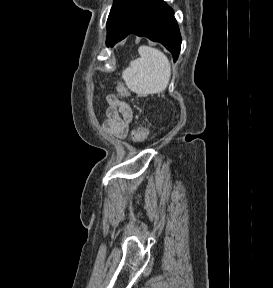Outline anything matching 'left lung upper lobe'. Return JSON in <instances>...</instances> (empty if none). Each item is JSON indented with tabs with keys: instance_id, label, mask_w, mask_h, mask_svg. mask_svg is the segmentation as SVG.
<instances>
[{
	"instance_id": "1",
	"label": "left lung upper lobe",
	"mask_w": 273,
	"mask_h": 288,
	"mask_svg": "<svg viewBox=\"0 0 273 288\" xmlns=\"http://www.w3.org/2000/svg\"><path fill=\"white\" fill-rule=\"evenodd\" d=\"M131 0H115L107 20V40L114 35L118 22Z\"/></svg>"
}]
</instances>
